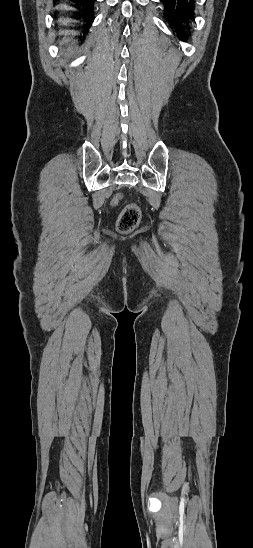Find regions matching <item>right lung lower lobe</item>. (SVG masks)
Segmentation results:
<instances>
[{
	"label": "right lung lower lobe",
	"instance_id": "obj_1",
	"mask_svg": "<svg viewBox=\"0 0 253 548\" xmlns=\"http://www.w3.org/2000/svg\"><path fill=\"white\" fill-rule=\"evenodd\" d=\"M73 2L79 4V6L85 7L88 9L89 14L86 17V20L88 21L89 25L92 23L94 17H93V5L95 0H72Z\"/></svg>",
	"mask_w": 253,
	"mask_h": 548
}]
</instances>
